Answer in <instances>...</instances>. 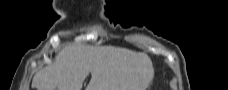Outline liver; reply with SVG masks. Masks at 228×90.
I'll return each mask as SVG.
<instances>
[{
	"instance_id": "6515ba94",
	"label": "liver",
	"mask_w": 228,
	"mask_h": 90,
	"mask_svg": "<svg viewBox=\"0 0 228 90\" xmlns=\"http://www.w3.org/2000/svg\"><path fill=\"white\" fill-rule=\"evenodd\" d=\"M91 73L86 90H146L154 69L151 59L141 52L113 46H65L53 64L35 74L36 90H81Z\"/></svg>"
}]
</instances>
